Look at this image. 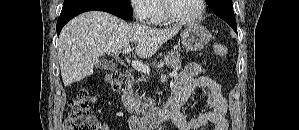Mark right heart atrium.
I'll use <instances>...</instances> for the list:
<instances>
[{"instance_id": "right-heart-atrium-1", "label": "right heart atrium", "mask_w": 299, "mask_h": 130, "mask_svg": "<svg viewBox=\"0 0 299 130\" xmlns=\"http://www.w3.org/2000/svg\"><path fill=\"white\" fill-rule=\"evenodd\" d=\"M155 0H132L131 6L137 20L148 22L154 18L155 11L153 9Z\"/></svg>"}]
</instances>
